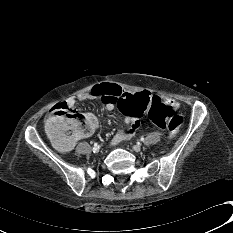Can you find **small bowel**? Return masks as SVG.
I'll use <instances>...</instances> for the list:
<instances>
[{"mask_svg":"<svg viewBox=\"0 0 233 233\" xmlns=\"http://www.w3.org/2000/svg\"><path fill=\"white\" fill-rule=\"evenodd\" d=\"M113 84L120 86L116 83H113ZM93 88L88 92L81 93L78 96V99L80 101L94 100V97L92 95ZM160 99H161L162 103L166 106L176 105L178 107V103L170 97L162 96V97H160ZM61 104H66L70 108L75 107V101L73 99H68V100H66L65 103H61ZM103 104L107 110H112L114 108V106H112L110 104H106V103H103ZM125 122H126V124H128V128L125 130H120L119 132H117L115 134V136L113 137L114 144L131 139L133 136H135V134L139 128V125H140L138 117H132L130 115H125ZM54 143H55L56 148L61 152H67V151L71 150V148L74 145V141L63 142L60 139L55 140Z\"/></svg>","mask_w":233,"mask_h":233,"instance_id":"1","label":"small bowel"}]
</instances>
